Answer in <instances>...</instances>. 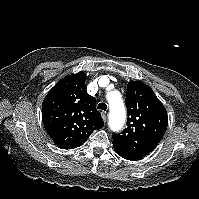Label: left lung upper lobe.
Here are the masks:
<instances>
[{"mask_svg": "<svg viewBox=\"0 0 199 199\" xmlns=\"http://www.w3.org/2000/svg\"><path fill=\"white\" fill-rule=\"evenodd\" d=\"M125 104L127 128L113 134V146L141 159L155 149L165 134L167 112L153 90L140 81L128 83Z\"/></svg>", "mask_w": 199, "mask_h": 199, "instance_id": "left-lung-upper-lobe-1", "label": "left lung upper lobe"}]
</instances>
